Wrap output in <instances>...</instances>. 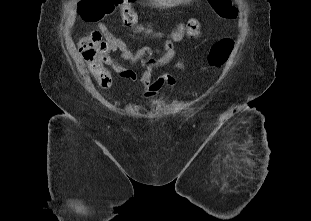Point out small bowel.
Masks as SVG:
<instances>
[{"label":"small bowel","instance_id":"small-bowel-1","mask_svg":"<svg viewBox=\"0 0 311 221\" xmlns=\"http://www.w3.org/2000/svg\"><path fill=\"white\" fill-rule=\"evenodd\" d=\"M107 46H126V53H118L122 60L129 64H141L139 73L122 65L111 56L105 57L104 62L110 66L117 75L124 80L139 84L145 101L154 102L163 87L174 86L176 79L173 74L165 72L154 78L155 71L168 65L175 56V43L180 42L185 34V24L179 23L177 28L168 36L162 47H141L133 49L124 40L116 37L109 30H102ZM143 32L150 38H163L164 35L158 31L152 22L147 21L143 27ZM156 56H159L156 58ZM183 67L182 64L179 65Z\"/></svg>","mask_w":311,"mask_h":221}]
</instances>
